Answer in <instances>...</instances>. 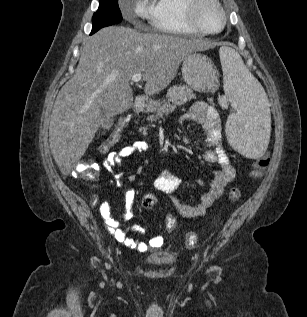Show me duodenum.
<instances>
[{
    "mask_svg": "<svg viewBox=\"0 0 307 317\" xmlns=\"http://www.w3.org/2000/svg\"><path fill=\"white\" fill-rule=\"evenodd\" d=\"M147 105V101L145 98L143 97H139L137 98L135 101H134V105H133V111L135 113H139L141 111L144 110V108L146 107Z\"/></svg>",
    "mask_w": 307,
    "mask_h": 317,
    "instance_id": "duodenum-1",
    "label": "duodenum"
}]
</instances>
